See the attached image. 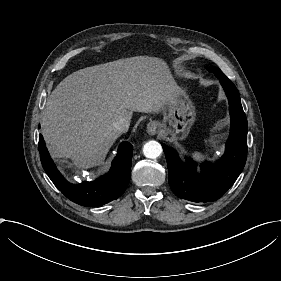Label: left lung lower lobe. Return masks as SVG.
Instances as JSON below:
<instances>
[{
  "label": "left lung lower lobe",
  "mask_w": 281,
  "mask_h": 281,
  "mask_svg": "<svg viewBox=\"0 0 281 281\" xmlns=\"http://www.w3.org/2000/svg\"><path fill=\"white\" fill-rule=\"evenodd\" d=\"M229 100L231 130L224 155L215 164L205 162L197 173V163L188 159L185 164L177 152L162 144L169 184L181 199L193 202L216 201L233 185L242 172L247 158V119L236 86L224 74L217 76Z\"/></svg>",
  "instance_id": "left-lung-lower-lobe-1"
}]
</instances>
